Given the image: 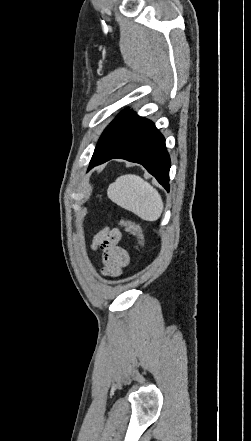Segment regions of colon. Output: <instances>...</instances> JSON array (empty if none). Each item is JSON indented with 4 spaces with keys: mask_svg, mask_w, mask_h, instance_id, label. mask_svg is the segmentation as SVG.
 <instances>
[{
    "mask_svg": "<svg viewBox=\"0 0 251 441\" xmlns=\"http://www.w3.org/2000/svg\"><path fill=\"white\" fill-rule=\"evenodd\" d=\"M120 223L125 228V230L135 238L137 244L142 249H144L145 248V239H144V235H143V232H142L140 225H138L136 222H134L132 220L125 219V218H122L120 220Z\"/></svg>",
    "mask_w": 251,
    "mask_h": 441,
    "instance_id": "obj_1",
    "label": "colon"
}]
</instances>
